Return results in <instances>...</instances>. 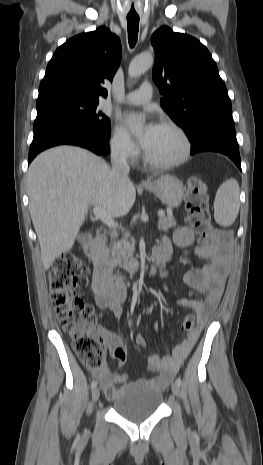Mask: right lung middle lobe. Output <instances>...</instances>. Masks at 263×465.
<instances>
[{"mask_svg": "<svg viewBox=\"0 0 263 465\" xmlns=\"http://www.w3.org/2000/svg\"><path fill=\"white\" fill-rule=\"evenodd\" d=\"M98 104V99L74 96L37 101L34 133L51 127L73 126L99 136H107L110 133V120L97 110Z\"/></svg>", "mask_w": 263, "mask_h": 465, "instance_id": "obj_1", "label": "right lung middle lobe"}]
</instances>
